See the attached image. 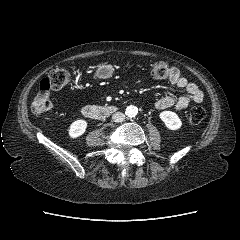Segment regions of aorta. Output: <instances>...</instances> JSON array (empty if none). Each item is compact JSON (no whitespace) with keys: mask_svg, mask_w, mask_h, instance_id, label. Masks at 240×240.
I'll return each mask as SVG.
<instances>
[{"mask_svg":"<svg viewBox=\"0 0 240 240\" xmlns=\"http://www.w3.org/2000/svg\"><path fill=\"white\" fill-rule=\"evenodd\" d=\"M125 114L128 117H135L138 114V108L134 105H130L126 108Z\"/></svg>","mask_w":240,"mask_h":240,"instance_id":"1","label":"aorta"}]
</instances>
